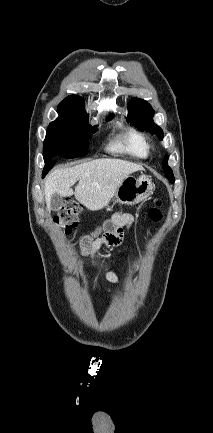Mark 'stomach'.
Wrapping results in <instances>:
<instances>
[{
    "mask_svg": "<svg viewBox=\"0 0 213 433\" xmlns=\"http://www.w3.org/2000/svg\"><path fill=\"white\" fill-rule=\"evenodd\" d=\"M154 190V184L146 175L126 177L117 187L114 197L121 204L134 205L146 200Z\"/></svg>",
    "mask_w": 213,
    "mask_h": 433,
    "instance_id": "stomach-1",
    "label": "stomach"
}]
</instances>
